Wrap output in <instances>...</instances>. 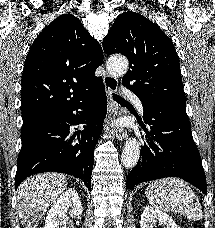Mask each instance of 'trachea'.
Masks as SVG:
<instances>
[{"label": "trachea", "instance_id": "1", "mask_svg": "<svg viewBox=\"0 0 215 228\" xmlns=\"http://www.w3.org/2000/svg\"><path fill=\"white\" fill-rule=\"evenodd\" d=\"M113 99L115 101H117L118 103H122V104H128V102L126 100H124V98L119 97L118 95H114L113 94ZM129 105V104H128Z\"/></svg>", "mask_w": 215, "mask_h": 228}]
</instances>
